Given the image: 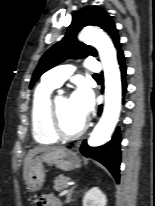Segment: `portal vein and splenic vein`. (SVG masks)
I'll return each mask as SVG.
<instances>
[{
    "instance_id": "1",
    "label": "portal vein and splenic vein",
    "mask_w": 155,
    "mask_h": 206,
    "mask_svg": "<svg viewBox=\"0 0 155 206\" xmlns=\"http://www.w3.org/2000/svg\"><path fill=\"white\" fill-rule=\"evenodd\" d=\"M67 193H68V190H64V191H62V192L59 193V196L62 197V196H64V195L67 194Z\"/></svg>"
}]
</instances>
